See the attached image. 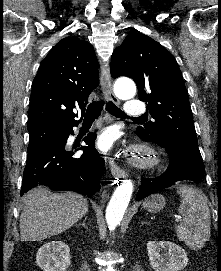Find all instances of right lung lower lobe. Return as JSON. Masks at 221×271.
<instances>
[{"instance_id":"obj_1","label":"right lung lower lobe","mask_w":221,"mask_h":271,"mask_svg":"<svg viewBox=\"0 0 221 271\" xmlns=\"http://www.w3.org/2000/svg\"><path fill=\"white\" fill-rule=\"evenodd\" d=\"M79 123V122H78ZM67 127L62 141L38 146L28 151L23 173L21 196L36 186H47L57 191H75L91 196L100 190V180L104 172V160L94 148L95 134L89 133L81 146L83 155L73 157L74 152L66 149L67 139L74 132Z\"/></svg>"}]
</instances>
